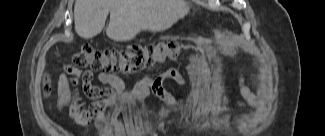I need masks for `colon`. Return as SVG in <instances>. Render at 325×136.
I'll list each match as a JSON object with an SVG mask.
<instances>
[{
  "instance_id": "obj_1",
  "label": "colon",
  "mask_w": 325,
  "mask_h": 136,
  "mask_svg": "<svg viewBox=\"0 0 325 136\" xmlns=\"http://www.w3.org/2000/svg\"><path fill=\"white\" fill-rule=\"evenodd\" d=\"M179 53L180 47L175 42L131 45L120 50H96L85 44L74 54L73 62L105 73H136L157 63L174 60ZM43 91L46 95L51 92L47 77L44 78Z\"/></svg>"
}]
</instances>
